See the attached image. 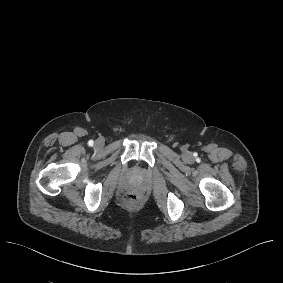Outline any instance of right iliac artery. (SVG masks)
I'll use <instances>...</instances> for the list:
<instances>
[{
  "label": "right iliac artery",
  "instance_id": "82829eb1",
  "mask_svg": "<svg viewBox=\"0 0 283 283\" xmlns=\"http://www.w3.org/2000/svg\"><path fill=\"white\" fill-rule=\"evenodd\" d=\"M93 143H94L93 140H90V141L88 142V145H89V146H93Z\"/></svg>",
  "mask_w": 283,
  "mask_h": 283
}]
</instances>
